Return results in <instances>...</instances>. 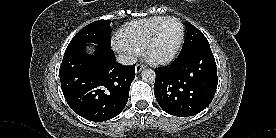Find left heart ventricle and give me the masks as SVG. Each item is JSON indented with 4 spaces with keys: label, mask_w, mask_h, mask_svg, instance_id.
Wrapping results in <instances>:
<instances>
[{
    "label": "left heart ventricle",
    "mask_w": 276,
    "mask_h": 138,
    "mask_svg": "<svg viewBox=\"0 0 276 138\" xmlns=\"http://www.w3.org/2000/svg\"><path fill=\"white\" fill-rule=\"evenodd\" d=\"M180 25L175 20L167 21L161 28L155 45L152 49L153 56H165L176 46L180 36Z\"/></svg>",
    "instance_id": "left-heart-ventricle-1"
}]
</instances>
